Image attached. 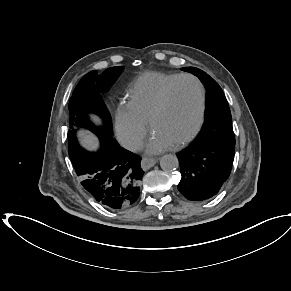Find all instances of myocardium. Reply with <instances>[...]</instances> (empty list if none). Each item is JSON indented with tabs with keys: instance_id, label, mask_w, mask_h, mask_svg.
I'll return each instance as SVG.
<instances>
[{
	"instance_id": "myocardium-1",
	"label": "myocardium",
	"mask_w": 291,
	"mask_h": 291,
	"mask_svg": "<svg viewBox=\"0 0 291 291\" xmlns=\"http://www.w3.org/2000/svg\"><path fill=\"white\" fill-rule=\"evenodd\" d=\"M185 79H189V80L194 81L198 87L199 114H198L197 123H196L195 127L193 128V130L187 136H185L183 139H181L178 142H176L175 144H173L172 147H174V148H180V147L188 144L189 142H191L198 135V133L200 132V130L203 126L204 119H205V113H206V93H205V89H204L202 82L197 77H195L194 75H191V74H181V75L177 76L164 89L158 104L156 105L154 110L151 112L149 119H148L149 126L153 130V125H154L155 120L166 109V107L168 105L171 92L173 91V89L177 86V84L180 81L185 80Z\"/></svg>"
}]
</instances>
